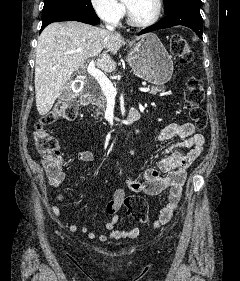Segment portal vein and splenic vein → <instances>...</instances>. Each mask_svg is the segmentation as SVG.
I'll use <instances>...</instances> for the list:
<instances>
[{
	"label": "portal vein and splenic vein",
	"instance_id": "obj_1",
	"mask_svg": "<svg viewBox=\"0 0 240 281\" xmlns=\"http://www.w3.org/2000/svg\"><path fill=\"white\" fill-rule=\"evenodd\" d=\"M88 73L95 78L100 85L104 95L107 98H115L117 89L113 86L111 81L105 76V74L95 67L94 61H91L87 68ZM141 92H149V87L139 88Z\"/></svg>",
	"mask_w": 240,
	"mask_h": 281
}]
</instances>
